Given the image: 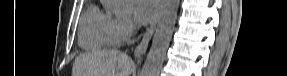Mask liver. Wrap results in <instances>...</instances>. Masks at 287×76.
Instances as JSON below:
<instances>
[{"instance_id":"liver-1","label":"liver","mask_w":287,"mask_h":76,"mask_svg":"<svg viewBox=\"0 0 287 76\" xmlns=\"http://www.w3.org/2000/svg\"><path fill=\"white\" fill-rule=\"evenodd\" d=\"M133 69L134 64L125 53L102 50L77 57L73 76H130Z\"/></svg>"}]
</instances>
